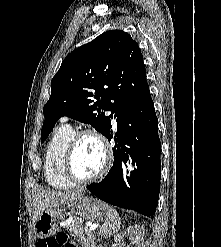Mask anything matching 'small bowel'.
<instances>
[{"mask_svg": "<svg viewBox=\"0 0 221 247\" xmlns=\"http://www.w3.org/2000/svg\"><path fill=\"white\" fill-rule=\"evenodd\" d=\"M45 240H39L36 244V247H40L39 244L40 243H43ZM67 247H76V246H73V245H68Z\"/></svg>", "mask_w": 221, "mask_h": 247, "instance_id": "1", "label": "small bowel"}]
</instances>
